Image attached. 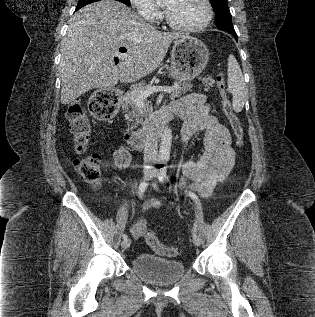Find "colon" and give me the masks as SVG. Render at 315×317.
<instances>
[{"label": "colon", "instance_id": "5ec220e1", "mask_svg": "<svg viewBox=\"0 0 315 317\" xmlns=\"http://www.w3.org/2000/svg\"><path fill=\"white\" fill-rule=\"evenodd\" d=\"M217 86L222 99L223 111L229 120L236 137L238 147L243 146L244 131L241 122L233 110L232 104L225 89V79L222 74L217 77ZM117 93L113 89H102L93 94L89 102L92 116L98 120H108L117 109ZM67 119L70 124L73 142L77 153H83L91 135V124L79 103L70 105L67 111ZM74 167L80 176L91 186L98 187L101 184V160L97 154H91L74 161ZM145 239L150 248L157 254L166 257H175L179 249L162 244L156 233L149 229L145 233Z\"/></svg>", "mask_w": 315, "mask_h": 317}]
</instances>
